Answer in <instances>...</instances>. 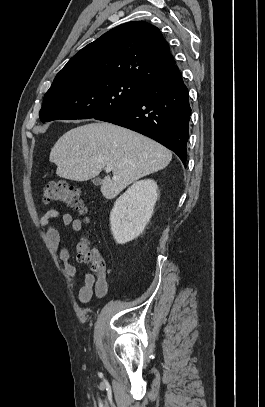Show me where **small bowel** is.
Instances as JSON below:
<instances>
[{
    "mask_svg": "<svg viewBox=\"0 0 265 407\" xmlns=\"http://www.w3.org/2000/svg\"><path fill=\"white\" fill-rule=\"evenodd\" d=\"M60 219L61 224L65 227H70L73 231L78 232L82 229V221L75 219L69 213L60 214L56 209H49L40 218V225L47 235L48 241L52 249L55 251L57 258L63 264V272L65 276L74 280L77 275L76 267L70 262L69 250L61 241L60 232L56 225V220ZM107 269H96L94 273H88L85 276L84 284L79 289L78 298L83 304L90 302L95 294L98 298L106 295L107 284Z\"/></svg>",
    "mask_w": 265,
    "mask_h": 407,
    "instance_id": "small-bowel-1",
    "label": "small bowel"
}]
</instances>
